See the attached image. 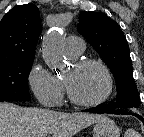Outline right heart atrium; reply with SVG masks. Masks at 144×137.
Returning <instances> with one entry per match:
<instances>
[{
    "label": "right heart atrium",
    "instance_id": "right-heart-atrium-1",
    "mask_svg": "<svg viewBox=\"0 0 144 137\" xmlns=\"http://www.w3.org/2000/svg\"><path fill=\"white\" fill-rule=\"evenodd\" d=\"M28 86L37 99L45 107H57L64 98L62 81L52 74L42 63L36 61L27 74Z\"/></svg>",
    "mask_w": 144,
    "mask_h": 137
}]
</instances>
